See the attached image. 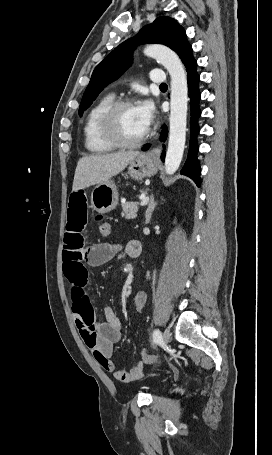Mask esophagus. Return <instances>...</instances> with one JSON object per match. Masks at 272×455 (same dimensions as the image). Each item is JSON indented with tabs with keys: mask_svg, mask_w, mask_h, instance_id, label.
<instances>
[{
	"mask_svg": "<svg viewBox=\"0 0 272 455\" xmlns=\"http://www.w3.org/2000/svg\"><path fill=\"white\" fill-rule=\"evenodd\" d=\"M159 152H160V149H159V148H154V149L151 151V154L158 155Z\"/></svg>",
	"mask_w": 272,
	"mask_h": 455,
	"instance_id": "1",
	"label": "esophagus"
}]
</instances>
